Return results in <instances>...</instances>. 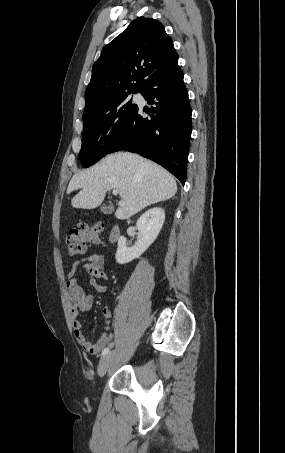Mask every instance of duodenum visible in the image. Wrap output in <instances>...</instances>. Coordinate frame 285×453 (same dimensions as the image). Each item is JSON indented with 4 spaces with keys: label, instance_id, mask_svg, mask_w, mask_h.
Wrapping results in <instances>:
<instances>
[{
    "label": "duodenum",
    "instance_id": "1",
    "mask_svg": "<svg viewBox=\"0 0 285 453\" xmlns=\"http://www.w3.org/2000/svg\"><path fill=\"white\" fill-rule=\"evenodd\" d=\"M120 234L119 227L117 225L112 226L110 233H109V240L111 242H115Z\"/></svg>",
    "mask_w": 285,
    "mask_h": 453
}]
</instances>
